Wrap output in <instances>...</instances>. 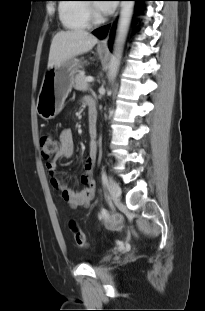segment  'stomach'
<instances>
[{
  "label": "stomach",
  "instance_id": "stomach-1",
  "mask_svg": "<svg viewBox=\"0 0 205 311\" xmlns=\"http://www.w3.org/2000/svg\"><path fill=\"white\" fill-rule=\"evenodd\" d=\"M104 51L98 50L100 57ZM82 68V62L73 57L59 67L48 68L44 74L37 99V113L45 120L54 118L62 109L65 99L71 92L74 77Z\"/></svg>",
  "mask_w": 205,
  "mask_h": 311
}]
</instances>
